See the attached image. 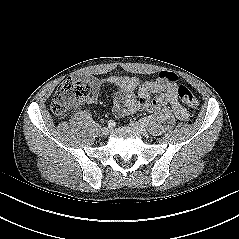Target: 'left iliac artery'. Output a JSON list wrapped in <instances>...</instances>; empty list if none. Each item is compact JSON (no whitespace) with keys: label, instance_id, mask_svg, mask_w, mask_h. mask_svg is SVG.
Here are the masks:
<instances>
[{"label":"left iliac artery","instance_id":"44dca946","mask_svg":"<svg viewBox=\"0 0 239 239\" xmlns=\"http://www.w3.org/2000/svg\"><path fill=\"white\" fill-rule=\"evenodd\" d=\"M140 123H141L142 125L147 126V125L149 124V119L146 118V117H144V118L140 119Z\"/></svg>","mask_w":239,"mask_h":239}]
</instances>
